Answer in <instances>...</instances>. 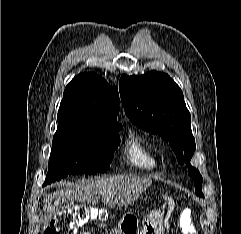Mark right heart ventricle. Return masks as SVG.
I'll list each match as a JSON object with an SVG mask.
<instances>
[{"label":"right heart ventricle","instance_id":"1","mask_svg":"<svg viewBox=\"0 0 241 234\" xmlns=\"http://www.w3.org/2000/svg\"><path fill=\"white\" fill-rule=\"evenodd\" d=\"M124 157L131 167L142 171H152L159 166V159L153 146L138 135H132L127 140Z\"/></svg>","mask_w":241,"mask_h":234}]
</instances>
